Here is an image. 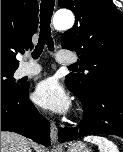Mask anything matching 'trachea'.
<instances>
[{
	"label": "trachea",
	"mask_w": 123,
	"mask_h": 152,
	"mask_svg": "<svg viewBox=\"0 0 123 152\" xmlns=\"http://www.w3.org/2000/svg\"><path fill=\"white\" fill-rule=\"evenodd\" d=\"M54 2L55 0H41V8H40V35L38 44L34 52L32 53V57L37 59L41 53L43 52L44 45H47L49 50H53L54 43L53 38L51 37V17L53 15L54 10ZM73 68V66H70Z\"/></svg>",
	"instance_id": "trachea-1"
}]
</instances>
